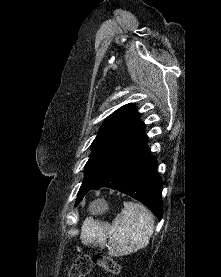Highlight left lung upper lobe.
Returning a JSON list of instances; mask_svg holds the SVG:
<instances>
[{"label":"left lung upper lobe","instance_id":"left-lung-upper-lobe-1","mask_svg":"<svg viewBox=\"0 0 221 277\" xmlns=\"http://www.w3.org/2000/svg\"><path fill=\"white\" fill-rule=\"evenodd\" d=\"M139 116L133 104H126L106 119L91 145L78 195L114 174L145 147L148 138Z\"/></svg>","mask_w":221,"mask_h":277}]
</instances>
